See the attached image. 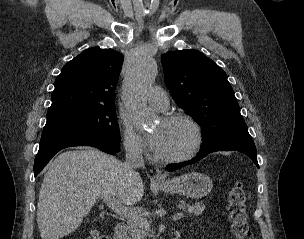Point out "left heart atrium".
<instances>
[{"mask_svg": "<svg viewBox=\"0 0 304 239\" xmlns=\"http://www.w3.org/2000/svg\"><path fill=\"white\" fill-rule=\"evenodd\" d=\"M148 143L151 147V149L155 152L159 149L160 143H161V135L160 133H153L148 136Z\"/></svg>", "mask_w": 304, "mask_h": 239, "instance_id": "obj_1", "label": "left heart atrium"}]
</instances>
